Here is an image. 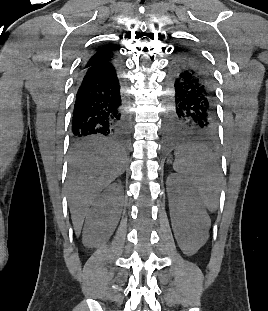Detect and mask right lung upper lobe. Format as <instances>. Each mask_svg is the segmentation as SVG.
Masks as SVG:
<instances>
[{
  "label": "right lung upper lobe",
  "instance_id": "obj_1",
  "mask_svg": "<svg viewBox=\"0 0 268 311\" xmlns=\"http://www.w3.org/2000/svg\"><path fill=\"white\" fill-rule=\"evenodd\" d=\"M116 47L105 45L100 48L87 60L86 66L104 65L114 61Z\"/></svg>",
  "mask_w": 268,
  "mask_h": 311
}]
</instances>
